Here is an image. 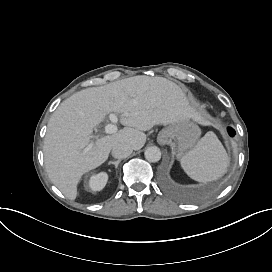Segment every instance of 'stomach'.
Masks as SVG:
<instances>
[{
  "label": "stomach",
  "instance_id": "stomach-1",
  "mask_svg": "<svg viewBox=\"0 0 272 272\" xmlns=\"http://www.w3.org/2000/svg\"><path fill=\"white\" fill-rule=\"evenodd\" d=\"M201 135V130L198 125L190 120H179L169 123V125L159 132L157 140L160 143L172 141L177 144V158L192 148Z\"/></svg>",
  "mask_w": 272,
  "mask_h": 272
}]
</instances>
